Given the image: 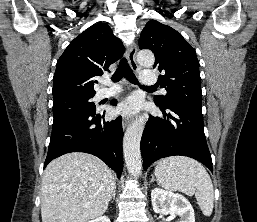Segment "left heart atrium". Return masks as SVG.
I'll return each mask as SVG.
<instances>
[{
  "label": "left heart atrium",
  "instance_id": "left-heart-atrium-1",
  "mask_svg": "<svg viewBox=\"0 0 257 222\" xmlns=\"http://www.w3.org/2000/svg\"><path fill=\"white\" fill-rule=\"evenodd\" d=\"M140 108V103L136 97H128L121 102L116 108V114L123 116H131Z\"/></svg>",
  "mask_w": 257,
  "mask_h": 222
}]
</instances>
